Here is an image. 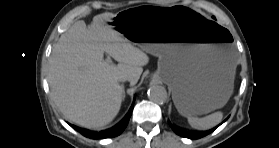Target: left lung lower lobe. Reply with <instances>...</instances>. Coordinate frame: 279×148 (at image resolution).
I'll use <instances>...</instances> for the list:
<instances>
[{"mask_svg":"<svg viewBox=\"0 0 279 148\" xmlns=\"http://www.w3.org/2000/svg\"><path fill=\"white\" fill-rule=\"evenodd\" d=\"M171 128L173 129V131L178 134L179 136H182V137H185V138H189V139H199V138H202L208 134H210L211 132H213L217 127L209 130V131H206V132H200V133H192V132H187V131H184V130H181V129H178L176 127H174L173 125H171V123H169Z\"/></svg>","mask_w":279,"mask_h":148,"instance_id":"0a47b994","label":"left lung lower lobe"}]
</instances>
